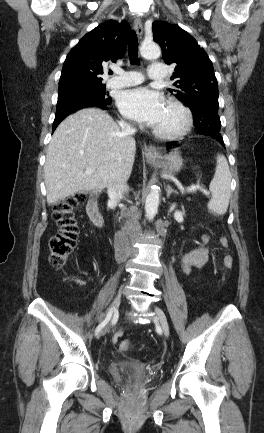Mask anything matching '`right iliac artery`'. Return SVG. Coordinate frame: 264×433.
Wrapping results in <instances>:
<instances>
[{"label": "right iliac artery", "instance_id": "82829eb1", "mask_svg": "<svg viewBox=\"0 0 264 433\" xmlns=\"http://www.w3.org/2000/svg\"><path fill=\"white\" fill-rule=\"evenodd\" d=\"M112 316V311L111 309L108 311L105 319L97 326L96 330H95V335H98V333L101 331V329L109 322V320L111 319Z\"/></svg>", "mask_w": 264, "mask_h": 433}]
</instances>
